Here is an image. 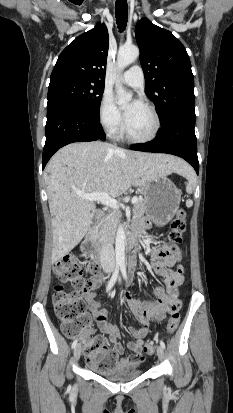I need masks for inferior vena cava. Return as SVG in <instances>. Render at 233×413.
Segmentation results:
<instances>
[{
    "label": "inferior vena cava",
    "mask_w": 233,
    "mask_h": 413,
    "mask_svg": "<svg viewBox=\"0 0 233 413\" xmlns=\"http://www.w3.org/2000/svg\"><path fill=\"white\" fill-rule=\"evenodd\" d=\"M100 264L105 272H111L114 269L115 255L113 245L111 243H106L101 247Z\"/></svg>",
    "instance_id": "602c4592"
}]
</instances>
